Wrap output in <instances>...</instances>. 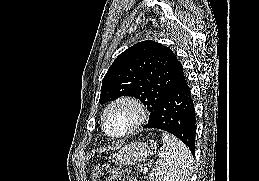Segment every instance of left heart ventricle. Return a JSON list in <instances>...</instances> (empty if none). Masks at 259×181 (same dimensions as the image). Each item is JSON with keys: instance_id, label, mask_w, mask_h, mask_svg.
<instances>
[{"instance_id": "b2bd125f", "label": "left heart ventricle", "mask_w": 259, "mask_h": 181, "mask_svg": "<svg viewBox=\"0 0 259 181\" xmlns=\"http://www.w3.org/2000/svg\"><path fill=\"white\" fill-rule=\"evenodd\" d=\"M133 120L134 112L130 107H116L107 116V129L112 134L121 133L131 126Z\"/></svg>"}]
</instances>
